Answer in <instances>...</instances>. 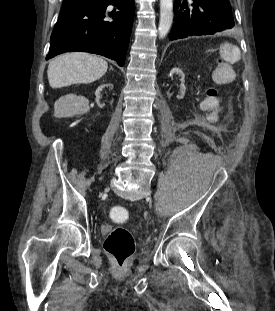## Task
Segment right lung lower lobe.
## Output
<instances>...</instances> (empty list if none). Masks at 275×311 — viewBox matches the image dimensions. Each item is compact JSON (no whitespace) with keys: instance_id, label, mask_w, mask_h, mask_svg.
Masks as SVG:
<instances>
[{"instance_id":"right-lung-lower-lobe-1","label":"right lung lower lobe","mask_w":275,"mask_h":311,"mask_svg":"<svg viewBox=\"0 0 275 311\" xmlns=\"http://www.w3.org/2000/svg\"><path fill=\"white\" fill-rule=\"evenodd\" d=\"M108 5L118 11L108 12ZM134 0H86L64 7L51 34L46 60L68 51H84L125 62L132 30Z\"/></svg>"}]
</instances>
